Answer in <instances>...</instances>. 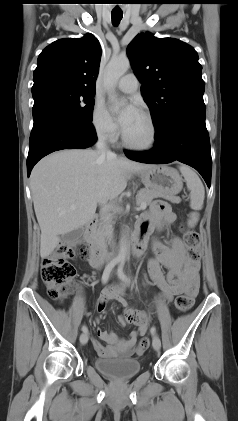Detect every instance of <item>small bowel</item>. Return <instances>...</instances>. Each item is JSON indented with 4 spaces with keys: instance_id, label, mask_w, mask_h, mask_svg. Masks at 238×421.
Returning a JSON list of instances; mask_svg holds the SVG:
<instances>
[{
    "instance_id": "small-bowel-1",
    "label": "small bowel",
    "mask_w": 238,
    "mask_h": 421,
    "mask_svg": "<svg viewBox=\"0 0 238 421\" xmlns=\"http://www.w3.org/2000/svg\"><path fill=\"white\" fill-rule=\"evenodd\" d=\"M175 221L176 215L171 211L170 206L164 201H157L151 206L149 212L143 214L139 219L137 232L147 238L154 232H160L173 225ZM152 249L153 257L148 262V269L152 280L161 291V296L168 301L180 295H185L193 300L199 287L200 263L190 259L182 239L175 236L168 246L155 238L152 242ZM163 267L167 269V274H164ZM126 288L125 284H114L107 287L97 302V311L103 313L108 302L116 301L123 307L119 323L134 324L138 330L131 332L129 337L116 348L114 345L119 343L116 333L99 329L97 331L99 339L108 345L103 346L97 340H93L92 344L101 357H115L117 353L129 356L133 352L138 336L147 332L150 314L128 306L125 299Z\"/></svg>"
}]
</instances>
